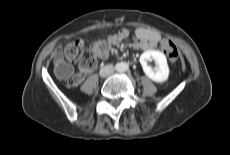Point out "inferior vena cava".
I'll return each instance as SVG.
<instances>
[{"mask_svg":"<svg viewBox=\"0 0 230 155\" xmlns=\"http://www.w3.org/2000/svg\"><path fill=\"white\" fill-rule=\"evenodd\" d=\"M113 71H114L113 66L107 65L100 70V75L102 77H107V76L111 75L113 73Z\"/></svg>","mask_w":230,"mask_h":155,"instance_id":"inferior-vena-cava-1","label":"inferior vena cava"}]
</instances>
